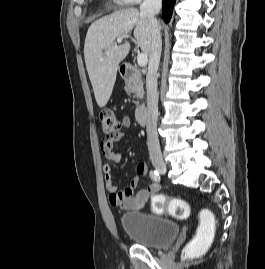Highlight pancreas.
Masks as SVG:
<instances>
[{
    "mask_svg": "<svg viewBox=\"0 0 265 269\" xmlns=\"http://www.w3.org/2000/svg\"><path fill=\"white\" fill-rule=\"evenodd\" d=\"M125 89L132 91L135 97H141L144 94L143 82L139 74L135 73L133 79L129 80Z\"/></svg>",
    "mask_w": 265,
    "mask_h": 269,
    "instance_id": "obj_1",
    "label": "pancreas"
}]
</instances>
